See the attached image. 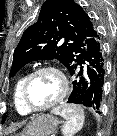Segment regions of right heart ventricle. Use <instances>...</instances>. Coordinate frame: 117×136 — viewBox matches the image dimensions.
<instances>
[{
  "label": "right heart ventricle",
  "mask_w": 117,
  "mask_h": 136,
  "mask_svg": "<svg viewBox=\"0 0 117 136\" xmlns=\"http://www.w3.org/2000/svg\"><path fill=\"white\" fill-rule=\"evenodd\" d=\"M27 75L21 76L15 83L13 90V103L16 111L23 116L29 115L31 112L25 107L22 101V89Z\"/></svg>",
  "instance_id": "e07e8e85"
}]
</instances>
